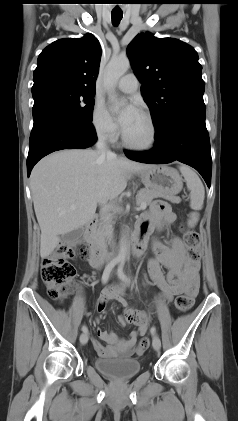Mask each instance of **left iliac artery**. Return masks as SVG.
I'll use <instances>...</instances> for the list:
<instances>
[{
  "instance_id": "obj_1",
  "label": "left iliac artery",
  "mask_w": 238,
  "mask_h": 421,
  "mask_svg": "<svg viewBox=\"0 0 238 421\" xmlns=\"http://www.w3.org/2000/svg\"><path fill=\"white\" fill-rule=\"evenodd\" d=\"M123 266H124V262L122 261V262L120 263L119 267H118V270H117L118 277H119L122 281H124L125 283H130V279H128V278H127V276L125 275V273H124V271H123ZM150 331H151V334H152V335H155V333H156V328H155V327H152Z\"/></svg>"
}]
</instances>
